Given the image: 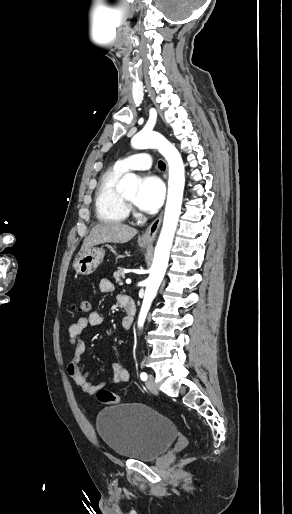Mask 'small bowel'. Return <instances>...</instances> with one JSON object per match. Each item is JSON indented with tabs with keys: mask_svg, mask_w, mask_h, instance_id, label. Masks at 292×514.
Returning <instances> with one entry per match:
<instances>
[{
	"mask_svg": "<svg viewBox=\"0 0 292 514\" xmlns=\"http://www.w3.org/2000/svg\"><path fill=\"white\" fill-rule=\"evenodd\" d=\"M99 291L103 294H109L114 291V285L109 279H101L99 281ZM125 319V318H124ZM122 320V326L124 324ZM104 322V315L95 310L87 317H81L77 322L71 324L68 329V344L74 346V355L68 360L67 373L74 383L79 386L87 394H95L101 389H105L109 385L122 384L129 381L130 373L122 363L113 365V376L109 382L94 384L88 380V372H83L80 368L81 355L86 350V345L81 339L82 332L87 327H100Z\"/></svg>",
	"mask_w": 292,
	"mask_h": 514,
	"instance_id": "small-bowel-1",
	"label": "small bowel"
}]
</instances>
